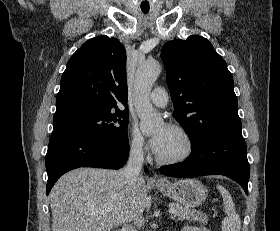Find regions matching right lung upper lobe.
I'll return each instance as SVG.
<instances>
[{"label": "right lung upper lobe", "instance_id": "obj_1", "mask_svg": "<svg viewBox=\"0 0 280 231\" xmlns=\"http://www.w3.org/2000/svg\"><path fill=\"white\" fill-rule=\"evenodd\" d=\"M127 100L125 47L116 38L95 37L67 63L53 122L121 111L117 103Z\"/></svg>", "mask_w": 280, "mask_h": 231}]
</instances>
